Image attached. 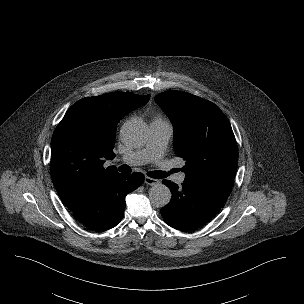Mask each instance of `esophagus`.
I'll list each match as a JSON object with an SVG mask.
<instances>
[{"label": "esophagus", "instance_id": "34e87169", "mask_svg": "<svg viewBox=\"0 0 304 304\" xmlns=\"http://www.w3.org/2000/svg\"><path fill=\"white\" fill-rule=\"evenodd\" d=\"M144 182H145L147 185L153 186V185H155V184H158V183H159V180L146 176L145 179H144Z\"/></svg>", "mask_w": 304, "mask_h": 304}]
</instances>
